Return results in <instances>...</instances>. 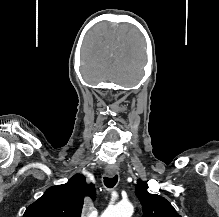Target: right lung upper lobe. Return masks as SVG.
<instances>
[{
	"label": "right lung upper lobe",
	"mask_w": 219,
	"mask_h": 217,
	"mask_svg": "<svg viewBox=\"0 0 219 217\" xmlns=\"http://www.w3.org/2000/svg\"><path fill=\"white\" fill-rule=\"evenodd\" d=\"M86 195L95 199L94 186L88 185L83 175H75L66 184L47 189L23 217H80Z\"/></svg>",
	"instance_id": "obj_1"
}]
</instances>
